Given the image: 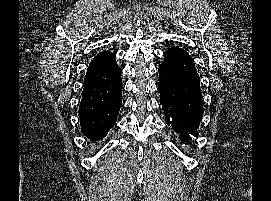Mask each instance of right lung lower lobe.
<instances>
[{"label": "right lung lower lobe", "instance_id": "98d812e1", "mask_svg": "<svg viewBox=\"0 0 271 201\" xmlns=\"http://www.w3.org/2000/svg\"><path fill=\"white\" fill-rule=\"evenodd\" d=\"M121 69L115 54L104 51L91 61L84 80L79 118L82 132L93 142L114 126L122 106Z\"/></svg>", "mask_w": 271, "mask_h": 201}]
</instances>
